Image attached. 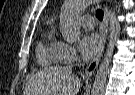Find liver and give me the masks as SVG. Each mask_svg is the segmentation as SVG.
<instances>
[{"label":"liver","instance_id":"liver-1","mask_svg":"<svg viewBox=\"0 0 135 95\" xmlns=\"http://www.w3.org/2000/svg\"><path fill=\"white\" fill-rule=\"evenodd\" d=\"M81 79L68 67H49L35 74L25 87L26 95H77Z\"/></svg>","mask_w":135,"mask_h":95}]
</instances>
